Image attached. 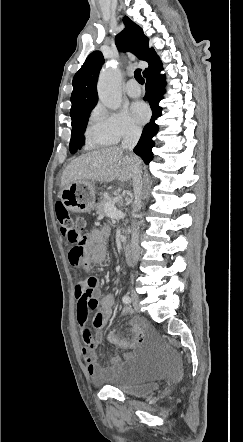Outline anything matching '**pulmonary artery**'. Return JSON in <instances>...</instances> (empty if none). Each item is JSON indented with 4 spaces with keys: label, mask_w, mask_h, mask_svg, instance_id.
<instances>
[{
    "label": "pulmonary artery",
    "mask_w": 243,
    "mask_h": 442,
    "mask_svg": "<svg viewBox=\"0 0 243 442\" xmlns=\"http://www.w3.org/2000/svg\"><path fill=\"white\" fill-rule=\"evenodd\" d=\"M126 93L133 98L139 97L141 94L140 86L135 79H130L126 84Z\"/></svg>",
    "instance_id": "pulmonary-artery-1"
}]
</instances>
